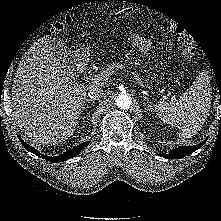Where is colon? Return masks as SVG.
Instances as JSON below:
<instances>
[{
  "mask_svg": "<svg viewBox=\"0 0 221 221\" xmlns=\"http://www.w3.org/2000/svg\"><path fill=\"white\" fill-rule=\"evenodd\" d=\"M71 20V16H66L62 20L57 21L49 28V33H55L63 30L71 22ZM169 30L180 42V51L182 57L185 60L193 59L196 53V47L185 28L176 22H171L169 24Z\"/></svg>",
  "mask_w": 221,
  "mask_h": 221,
  "instance_id": "colon-1",
  "label": "colon"
}]
</instances>
